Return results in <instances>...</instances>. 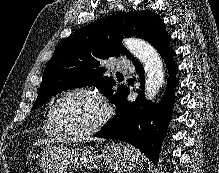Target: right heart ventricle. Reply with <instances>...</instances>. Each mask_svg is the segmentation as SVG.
<instances>
[{"label": "right heart ventricle", "mask_w": 219, "mask_h": 173, "mask_svg": "<svg viewBox=\"0 0 219 173\" xmlns=\"http://www.w3.org/2000/svg\"><path fill=\"white\" fill-rule=\"evenodd\" d=\"M52 107H53V103L48 107L47 112H46L44 132L50 136H61L63 134L55 126L53 119H52Z\"/></svg>", "instance_id": "obj_1"}]
</instances>
